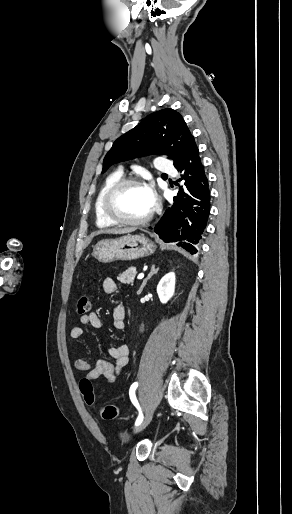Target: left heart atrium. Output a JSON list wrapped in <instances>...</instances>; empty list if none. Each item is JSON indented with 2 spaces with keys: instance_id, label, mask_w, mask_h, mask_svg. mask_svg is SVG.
Here are the masks:
<instances>
[{
  "instance_id": "obj_1",
  "label": "left heart atrium",
  "mask_w": 292,
  "mask_h": 514,
  "mask_svg": "<svg viewBox=\"0 0 292 514\" xmlns=\"http://www.w3.org/2000/svg\"><path fill=\"white\" fill-rule=\"evenodd\" d=\"M143 192L147 198V201L152 208L156 204L157 196L154 186L151 183H145L142 186Z\"/></svg>"
}]
</instances>
